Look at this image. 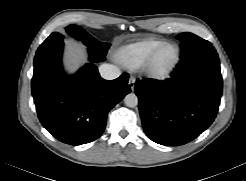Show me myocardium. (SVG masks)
Wrapping results in <instances>:
<instances>
[{
  "mask_svg": "<svg viewBox=\"0 0 246 181\" xmlns=\"http://www.w3.org/2000/svg\"><path fill=\"white\" fill-rule=\"evenodd\" d=\"M170 47L175 48V57L173 61L166 67L159 66V59L161 55ZM181 59V50L175 43H166L160 46L143 64V68L152 77L166 78L170 76L176 67L178 66Z\"/></svg>",
  "mask_w": 246,
  "mask_h": 181,
  "instance_id": "myocardium-1",
  "label": "myocardium"
}]
</instances>
